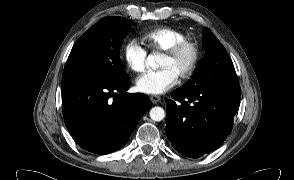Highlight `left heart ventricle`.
<instances>
[{
	"label": "left heart ventricle",
	"mask_w": 294,
	"mask_h": 180,
	"mask_svg": "<svg viewBox=\"0 0 294 180\" xmlns=\"http://www.w3.org/2000/svg\"><path fill=\"white\" fill-rule=\"evenodd\" d=\"M191 62V51L186 49L174 58L162 55L159 66L171 69L177 76H180Z\"/></svg>",
	"instance_id": "left-heart-ventricle-1"
}]
</instances>
